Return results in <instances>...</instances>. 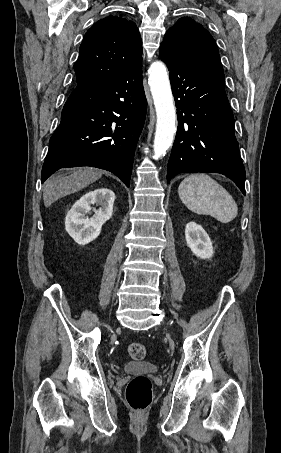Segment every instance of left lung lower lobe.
Returning <instances> with one entry per match:
<instances>
[{"instance_id":"1","label":"left lung lower lobe","mask_w":281,"mask_h":453,"mask_svg":"<svg viewBox=\"0 0 281 453\" xmlns=\"http://www.w3.org/2000/svg\"><path fill=\"white\" fill-rule=\"evenodd\" d=\"M170 71L178 129L167 182L179 173H221L245 195V169L234 134V117L224 89L223 69L187 64L164 48Z\"/></svg>"}]
</instances>
